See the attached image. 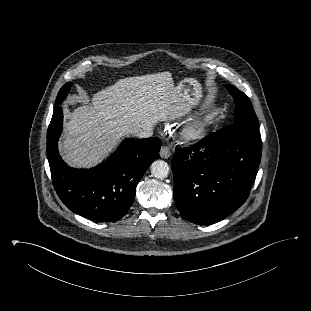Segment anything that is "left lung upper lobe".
<instances>
[{
    "instance_id": "1",
    "label": "left lung upper lobe",
    "mask_w": 311,
    "mask_h": 311,
    "mask_svg": "<svg viewBox=\"0 0 311 311\" xmlns=\"http://www.w3.org/2000/svg\"><path fill=\"white\" fill-rule=\"evenodd\" d=\"M226 88L236 102L235 120L233 124H241L258 129V119L250 99L243 92L231 85H226Z\"/></svg>"
}]
</instances>
